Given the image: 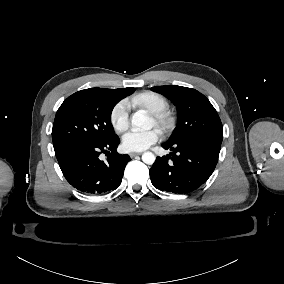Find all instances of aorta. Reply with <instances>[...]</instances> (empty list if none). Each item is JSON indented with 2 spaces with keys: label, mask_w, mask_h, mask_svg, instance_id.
I'll use <instances>...</instances> for the list:
<instances>
[{
  "label": "aorta",
  "mask_w": 284,
  "mask_h": 284,
  "mask_svg": "<svg viewBox=\"0 0 284 284\" xmlns=\"http://www.w3.org/2000/svg\"><path fill=\"white\" fill-rule=\"evenodd\" d=\"M132 125L143 129H150L152 127V120L144 110H139L132 116ZM155 159L156 157L152 152H145L142 155V161L148 165H152Z\"/></svg>",
  "instance_id": "obj_1"
}]
</instances>
